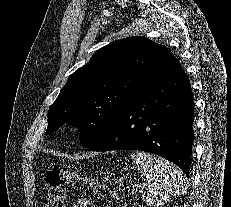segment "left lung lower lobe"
I'll return each mask as SVG.
<instances>
[{
	"label": "left lung lower lobe",
	"instance_id": "left-lung-lower-lobe-1",
	"mask_svg": "<svg viewBox=\"0 0 231 207\" xmlns=\"http://www.w3.org/2000/svg\"><path fill=\"white\" fill-rule=\"evenodd\" d=\"M193 121L190 81L167 50L151 71L146 88L90 149L147 151L173 162L189 176Z\"/></svg>",
	"mask_w": 231,
	"mask_h": 207
}]
</instances>
